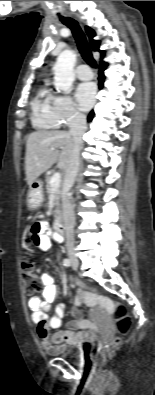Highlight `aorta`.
<instances>
[{
  "mask_svg": "<svg viewBox=\"0 0 155 395\" xmlns=\"http://www.w3.org/2000/svg\"><path fill=\"white\" fill-rule=\"evenodd\" d=\"M76 54L72 50L62 51L53 67L55 74L54 85L57 91L69 93L75 79L74 65Z\"/></svg>",
  "mask_w": 155,
  "mask_h": 395,
  "instance_id": "aorta-1",
  "label": "aorta"
}]
</instances>
